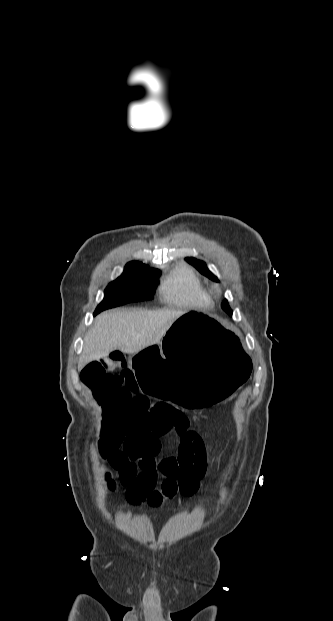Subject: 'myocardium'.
I'll list each match as a JSON object with an SVG mask.
<instances>
[{"mask_svg": "<svg viewBox=\"0 0 333 621\" xmlns=\"http://www.w3.org/2000/svg\"><path fill=\"white\" fill-rule=\"evenodd\" d=\"M210 291H211V293H212L213 295H218V294L220 293V291H221V290H220V287H219L218 285H213V286L210 288Z\"/></svg>", "mask_w": 333, "mask_h": 621, "instance_id": "f54148a6", "label": "myocardium"}]
</instances>
